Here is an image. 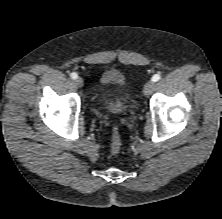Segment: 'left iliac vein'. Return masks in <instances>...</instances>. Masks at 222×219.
<instances>
[{
	"mask_svg": "<svg viewBox=\"0 0 222 219\" xmlns=\"http://www.w3.org/2000/svg\"><path fill=\"white\" fill-rule=\"evenodd\" d=\"M154 87H155V83L153 81L147 82L143 88L144 95H146V96L150 95L152 93Z\"/></svg>",
	"mask_w": 222,
	"mask_h": 219,
	"instance_id": "4c4485c4",
	"label": "left iliac vein"
}]
</instances>
